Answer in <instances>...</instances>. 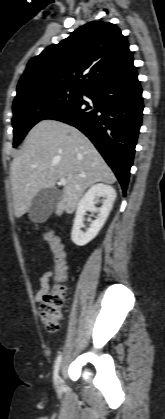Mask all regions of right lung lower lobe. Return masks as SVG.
I'll return each instance as SVG.
<instances>
[{
	"label": "right lung lower lobe",
	"instance_id": "1",
	"mask_svg": "<svg viewBox=\"0 0 165 419\" xmlns=\"http://www.w3.org/2000/svg\"><path fill=\"white\" fill-rule=\"evenodd\" d=\"M132 64L85 92L81 99L45 119L58 120L82 131L96 146L125 193L142 121L143 98Z\"/></svg>",
	"mask_w": 165,
	"mask_h": 419
}]
</instances>
